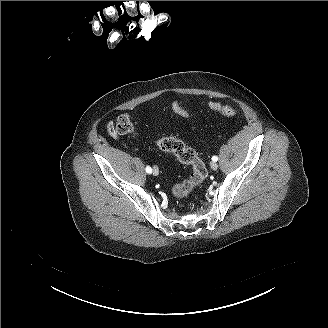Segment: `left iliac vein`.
<instances>
[{
    "label": "left iliac vein",
    "instance_id": "4c4485c4",
    "mask_svg": "<svg viewBox=\"0 0 328 328\" xmlns=\"http://www.w3.org/2000/svg\"><path fill=\"white\" fill-rule=\"evenodd\" d=\"M210 166H211V168L213 170H217L218 169V164L216 162H211Z\"/></svg>",
    "mask_w": 328,
    "mask_h": 328
}]
</instances>
